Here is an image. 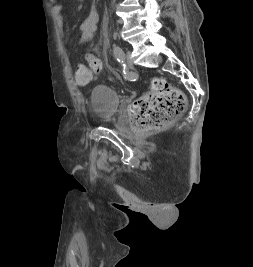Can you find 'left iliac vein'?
<instances>
[{"instance_id": "left-iliac-vein-1", "label": "left iliac vein", "mask_w": 253, "mask_h": 267, "mask_svg": "<svg viewBox=\"0 0 253 267\" xmlns=\"http://www.w3.org/2000/svg\"><path fill=\"white\" fill-rule=\"evenodd\" d=\"M122 56L124 58V61L126 62L127 67L132 68L133 62L130 58H128L129 52L127 53L122 52Z\"/></svg>"}]
</instances>
